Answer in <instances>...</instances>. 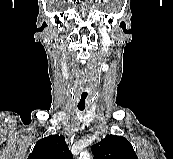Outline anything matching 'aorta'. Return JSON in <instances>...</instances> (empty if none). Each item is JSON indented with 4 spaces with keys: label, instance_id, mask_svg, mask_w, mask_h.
<instances>
[{
    "label": "aorta",
    "instance_id": "obj_1",
    "mask_svg": "<svg viewBox=\"0 0 173 159\" xmlns=\"http://www.w3.org/2000/svg\"><path fill=\"white\" fill-rule=\"evenodd\" d=\"M79 159H92L88 152H81Z\"/></svg>",
    "mask_w": 173,
    "mask_h": 159
}]
</instances>
